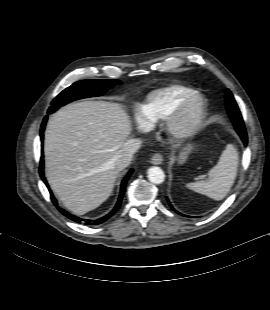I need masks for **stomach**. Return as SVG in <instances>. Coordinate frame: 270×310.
I'll return each mask as SVG.
<instances>
[{"label":"stomach","mask_w":270,"mask_h":310,"mask_svg":"<svg viewBox=\"0 0 270 310\" xmlns=\"http://www.w3.org/2000/svg\"><path fill=\"white\" fill-rule=\"evenodd\" d=\"M193 151V145L188 144L186 147L183 148V150L180 152L179 157H178V162L180 164H183L186 162L189 154Z\"/></svg>","instance_id":"0dacf381"}]
</instances>
